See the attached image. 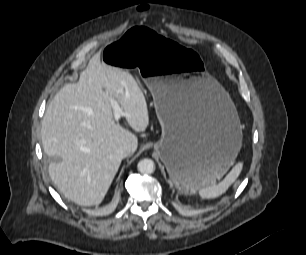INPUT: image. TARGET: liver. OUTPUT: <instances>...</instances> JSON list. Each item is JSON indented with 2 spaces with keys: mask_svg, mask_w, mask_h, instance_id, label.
<instances>
[{
  "mask_svg": "<svg viewBox=\"0 0 306 255\" xmlns=\"http://www.w3.org/2000/svg\"><path fill=\"white\" fill-rule=\"evenodd\" d=\"M111 99L134 131L146 130L148 107L137 81L98 55L77 83L59 90L42 120L43 149L54 159L48 167L50 178L67 199L82 206L104 199L122 161L118 148L129 144L134 153L138 146L137 137L116 123Z\"/></svg>",
  "mask_w": 306,
  "mask_h": 255,
  "instance_id": "1",
  "label": "liver"
}]
</instances>
